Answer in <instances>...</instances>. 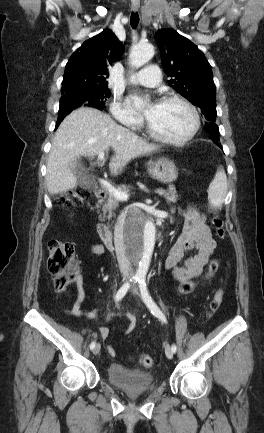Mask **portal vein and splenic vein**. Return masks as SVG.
Masks as SVG:
<instances>
[{
    "label": "portal vein and splenic vein",
    "instance_id": "18ae733b",
    "mask_svg": "<svg viewBox=\"0 0 264 433\" xmlns=\"http://www.w3.org/2000/svg\"><path fill=\"white\" fill-rule=\"evenodd\" d=\"M104 155H105L104 152H99L98 153V161H103L104 160ZM100 182L108 190V192L110 194H112L117 200L126 201L129 198V195H128L127 192H123L121 190H117L108 181L100 179ZM156 192L159 195H162L165 192V190L158 189Z\"/></svg>",
    "mask_w": 264,
    "mask_h": 433
}]
</instances>
